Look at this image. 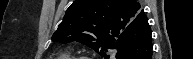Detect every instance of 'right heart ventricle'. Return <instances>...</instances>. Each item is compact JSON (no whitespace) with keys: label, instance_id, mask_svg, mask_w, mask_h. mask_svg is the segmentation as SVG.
<instances>
[{"label":"right heart ventricle","instance_id":"right-heart-ventricle-1","mask_svg":"<svg viewBox=\"0 0 193 59\" xmlns=\"http://www.w3.org/2000/svg\"><path fill=\"white\" fill-rule=\"evenodd\" d=\"M71 55L69 54V52H63L60 55H58V57L56 59H70Z\"/></svg>","mask_w":193,"mask_h":59}]
</instances>
